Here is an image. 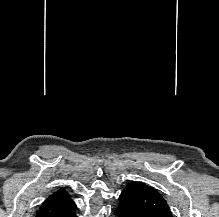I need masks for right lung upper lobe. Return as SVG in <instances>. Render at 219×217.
<instances>
[{
    "instance_id": "cb5924a9",
    "label": "right lung upper lobe",
    "mask_w": 219,
    "mask_h": 217,
    "mask_svg": "<svg viewBox=\"0 0 219 217\" xmlns=\"http://www.w3.org/2000/svg\"><path fill=\"white\" fill-rule=\"evenodd\" d=\"M76 205L67 191L59 189L52 193L41 205L35 217H59L75 209Z\"/></svg>"
}]
</instances>
